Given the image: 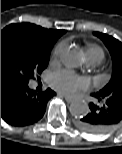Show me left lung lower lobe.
<instances>
[{"mask_svg": "<svg viewBox=\"0 0 122 154\" xmlns=\"http://www.w3.org/2000/svg\"><path fill=\"white\" fill-rule=\"evenodd\" d=\"M91 95L95 98V102L89 104L88 114L78 119L76 125L88 133H105L122 120V99L101 92Z\"/></svg>", "mask_w": 122, "mask_h": 154, "instance_id": "left-lung-lower-lobe-1", "label": "left lung lower lobe"}]
</instances>
